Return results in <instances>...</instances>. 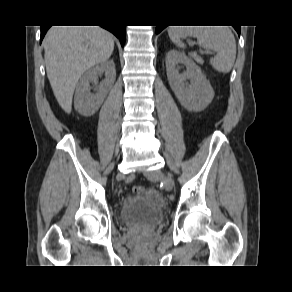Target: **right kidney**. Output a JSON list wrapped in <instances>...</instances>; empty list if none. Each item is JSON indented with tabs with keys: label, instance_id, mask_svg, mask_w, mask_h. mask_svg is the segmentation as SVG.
I'll return each mask as SVG.
<instances>
[{
	"label": "right kidney",
	"instance_id": "1",
	"mask_svg": "<svg viewBox=\"0 0 292 292\" xmlns=\"http://www.w3.org/2000/svg\"><path fill=\"white\" fill-rule=\"evenodd\" d=\"M104 73L105 79L90 92V83L97 84L98 75ZM116 79V70L113 60L103 61L88 69L80 78L74 96L75 109L84 116L93 115L103 103Z\"/></svg>",
	"mask_w": 292,
	"mask_h": 292
}]
</instances>
